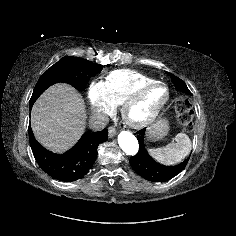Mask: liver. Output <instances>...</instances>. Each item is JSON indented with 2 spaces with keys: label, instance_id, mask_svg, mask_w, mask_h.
<instances>
[{
  "label": "liver",
  "instance_id": "6515ba94",
  "mask_svg": "<svg viewBox=\"0 0 236 236\" xmlns=\"http://www.w3.org/2000/svg\"><path fill=\"white\" fill-rule=\"evenodd\" d=\"M86 118L80 93L68 84L59 83L48 88L34 104L31 127L38 142L62 153L80 138Z\"/></svg>",
  "mask_w": 236,
  "mask_h": 236
}]
</instances>
